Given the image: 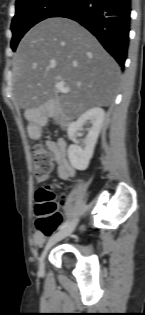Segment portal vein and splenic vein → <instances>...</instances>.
<instances>
[{
    "label": "portal vein and splenic vein",
    "instance_id": "1",
    "mask_svg": "<svg viewBox=\"0 0 145 315\" xmlns=\"http://www.w3.org/2000/svg\"><path fill=\"white\" fill-rule=\"evenodd\" d=\"M55 87L57 89V91L61 92V93H67L69 92V88L65 87V84L63 81H59L55 84Z\"/></svg>",
    "mask_w": 145,
    "mask_h": 315
}]
</instances>
